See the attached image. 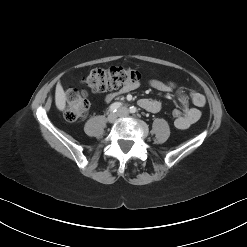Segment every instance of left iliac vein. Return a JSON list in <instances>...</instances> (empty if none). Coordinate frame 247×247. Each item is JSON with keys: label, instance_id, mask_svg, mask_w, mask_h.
Listing matches in <instances>:
<instances>
[{"label": "left iliac vein", "instance_id": "left-iliac-vein-1", "mask_svg": "<svg viewBox=\"0 0 247 247\" xmlns=\"http://www.w3.org/2000/svg\"><path fill=\"white\" fill-rule=\"evenodd\" d=\"M119 116H124L128 113V110L126 108H121L119 111Z\"/></svg>", "mask_w": 247, "mask_h": 247}]
</instances>
